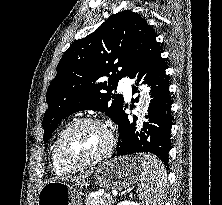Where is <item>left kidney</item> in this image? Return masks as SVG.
Returning a JSON list of instances; mask_svg holds the SVG:
<instances>
[{"instance_id": "5707ae66", "label": "left kidney", "mask_w": 222, "mask_h": 205, "mask_svg": "<svg viewBox=\"0 0 222 205\" xmlns=\"http://www.w3.org/2000/svg\"><path fill=\"white\" fill-rule=\"evenodd\" d=\"M117 205H141V204L137 202L122 201V202H119Z\"/></svg>"}]
</instances>
